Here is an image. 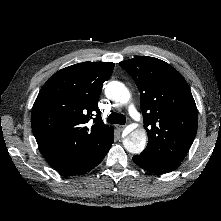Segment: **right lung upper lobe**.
Here are the masks:
<instances>
[{"label": "right lung upper lobe", "mask_w": 221, "mask_h": 221, "mask_svg": "<svg viewBox=\"0 0 221 221\" xmlns=\"http://www.w3.org/2000/svg\"><path fill=\"white\" fill-rule=\"evenodd\" d=\"M114 66L78 63L56 72L40 90L32 108V131L41 153L60 173L79 169L109 148L113 128L103 123L97 102Z\"/></svg>", "instance_id": "1"}]
</instances>
